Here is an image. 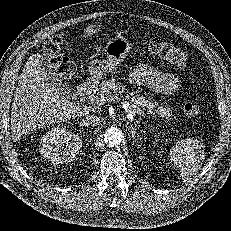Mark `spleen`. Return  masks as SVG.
Returning a JSON list of instances; mask_svg holds the SVG:
<instances>
[{
    "label": "spleen",
    "instance_id": "1",
    "mask_svg": "<svg viewBox=\"0 0 231 231\" xmlns=\"http://www.w3.org/2000/svg\"><path fill=\"white\" fill-rule=\"evenodd\" d=\"M203 143L187 138L178 141L170 150L171 161L180 170L184 182L191 181L201 169Z\"/></svg>",
    "mask_w": 231,
    "mask_h": 231
}]
</instances>
